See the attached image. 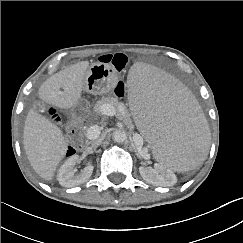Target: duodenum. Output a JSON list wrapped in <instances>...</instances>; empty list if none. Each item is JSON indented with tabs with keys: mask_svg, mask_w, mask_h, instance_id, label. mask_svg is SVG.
I'll return each instance as SVG.
<instances>
[{
	"mask_svg": "<svg viewBox=\"0 0 243 243\" xmlns=\"http://www.w3.org/2000/svg\"><path fill=\"white\" fill-rule=\"evenodd\" d=\"M80 131V124L76 120H73L68 126V132L73 138L76 139L79 145L82 144V141L80 139Z\"/></svg>",
	"mask_w": 243,
	"mask_h": 243,
	"instance_id": "410a0bca",
	"label": "duodenum"
}]
</instances>
